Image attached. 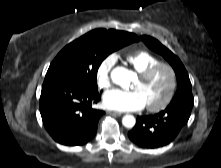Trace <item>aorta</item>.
I'll return each instance as SVG.
<instances>
[{"label": "aorta", "instance_id": "1", "mask_svg": "<svg viewBox=\"0 0 221 168\" xmlns=\"http://www.w3.org/2000/svg\"><path fill=\"white\" fill-rule=\"evenodd\" d=\"M112 80L115 84L123 86L129 80V71L124 67L116 68L112 73ZM136 123L134 116L125 115L122 124L126 128H132Z\"/></svg>", "mask_w": 221, "mask_h": 168}]
</instances>
